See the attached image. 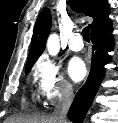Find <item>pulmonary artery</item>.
Here are the masks:
<instances>
[{
	"label": "pulmonary artery",
	"mask_w": 118,
	"mask_h": 123,
	"mask_svg": "<svg viewBox=\"0 0 118 123\" xmlns=\"http://www.w3.org/2000/svg\"><path fill=\"white\" fill-rule=\"evenodd\" d=\"M68 46L72 51H81L84 46L81 35L79 33H73L69 38Z\"/></svg>",
	"instance_id": "1"
}]
</instances>
